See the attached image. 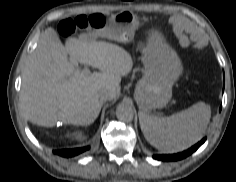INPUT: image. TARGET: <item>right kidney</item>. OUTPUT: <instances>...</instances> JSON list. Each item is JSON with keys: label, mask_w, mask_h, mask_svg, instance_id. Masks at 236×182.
<instances>
[{"label": "right kidney", "mask_w": 236, "mask_h": 182, "mask_svg": "<svg viewBox=\"0 0 236 182\" xmlns=\"http://www.w3.org/2000/svg\"><path fill=\"white\" fill-rule=\"evenodd\" d=\"M73 136H74V138L77 139V140H81V139L84 138L83 135H82V133H80V132L74 133Z\"/></svg>", "instance_id": "1"}]
</instances>
